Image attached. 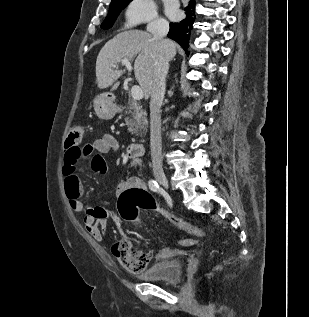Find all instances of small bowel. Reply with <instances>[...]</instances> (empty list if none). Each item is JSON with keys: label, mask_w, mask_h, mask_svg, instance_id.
Masks as SVG:
<instances>
[{"label": "small bowel", "mask_w": 309, "mask_h": 317, "mask_svg": "<svg viewBox=\"0 0 309 317\" xmlns=\"http://www.w3.org/2000/svg\"><path fill=\"white\" fill-rule=\"evenodd\" d=\"M119 141L111 134H105L89 145V152L83 155L88 159L91 170L98 174L107 172V164L104 155L110 151L118 150ZM134 163L140 165L139 158L134 159ZM64 190L69 201L70 207L77 213H82V222L87 233L97 242L105 239L108 230V219H112L119 227L122 221L120 217L104 207L87 206L82 201L83 186L77 174V162L68 164L64 159L63 166ZM146 190L145 182L137 176H132L120 182L117 187L121 195L129 189Z\"/></svg>", "instance_id": "c3829d8e"}]
</instances>
